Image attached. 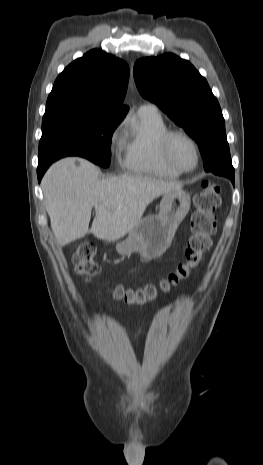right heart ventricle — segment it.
Here are the masks:
<instances>
[{
	"label": "right heart ventricle",
	"mask_w": 263,
	"mask_h": 465,
	"mask_svg": "<svg viewBox=\"0 0 263 465\" xmlns=\"http://www.w3.org/2000/svg\"><path fill=\"white\" fill-rule=\"evenodd\" d=\"M168 130L158 112L139 110L123 138L125 168L134 174L177 178L180 173L171 169L161 155V138Z\"/></svg>",
	"instance_id": "e07e8e85"
}]
</instances>
